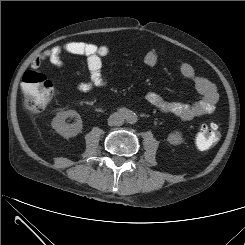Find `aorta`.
Instances as JSON below:
<instances>
[{
	"mask_svg": "<svg viewBox=\"0 0 245 245\" xmlns=\"http://www.w3.org/2000/svg\"><path fill=\"white\" fill-rule=\"evenodd\" d=\"M137 120H138V116H137L134 112H132V111H130V112L126 115V121H127L128 123H130V124L136 123Z\"/></svg>",
	"mask_w": 245,
	"mask_h": 245,
	"instance_id": "aorta-1",
	"label": "aorta"
}]
</instances>
